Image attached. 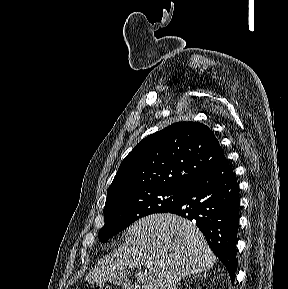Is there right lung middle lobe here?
Segmentation results:
<instances>
[{
    "instance_id": "right-lung-middle-lobe-1",
    "label": "right lung middle lobe",
    "mask_w": 288,
    "mask_h": 289,
    "mask_svg": "<svg viewBox=\"0 0 288 289\" xmlns=\"http://www.w3.org/2000/svg\"><path fill=\"white\" fill-rule=\"evenodd\" d=\"M185 188H151L129 190L107 197L104 226L99 231L103 243L134 221L153 213H164L176 206Z\"/></svg>"
}]
</instances>
